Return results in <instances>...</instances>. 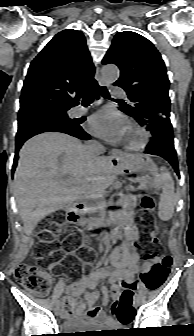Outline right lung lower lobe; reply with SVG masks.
I'll list each match as a JSON object with an SVG mask.
<instances>
[{
	"label": "right lung lower lobe",
	"instance_id": "obj_1",
	"mask_svg": "<svg viewBox=\"0 0 194 336\" xmlns=\"http://www.w3.org/2000/svg\"><path fill=\"white\" fill-rule=\"evenodd\" d=\"M98 89H99V86L96 83L88 91V93L94 95L98 99L99 98ZM77 104H78V101L74 105H77ZM76 120L77 121L75 122V124L69 127H66V126H33V127L23 128L20 131H18L16 135L15 158H14V164L12 167V174L14 173L15 167L17 165L19 149L21 148V146L24 144L26 140L33 137L34 135H37L43 132H62V133H67L71 136L77 137L81 140H89L90 135L87 134L81 127V123L84 120L82 119L81 120L76 119Z\"/></svg>",
	"mask_w": 194,
	"mask_h": 336
}]
</instances>
